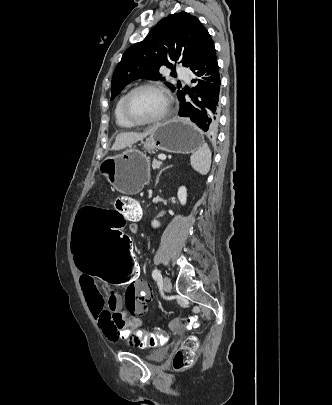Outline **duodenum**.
<instances>
[{"mask_svg":"<svg viewBox=\"0 0 332 405\" xmlns=\"http://www.w3.org/2000/svg\"><path fill=\"white\" fill-rule=\"evenodd\" d=\"M133 219L136 220V221L140 220L141 219V214L134 215Z\"/></svg>","mask_w":332,"mask_h":405,"instance_id":"duodenum-1","label":"duodenum"}]
</instances>
